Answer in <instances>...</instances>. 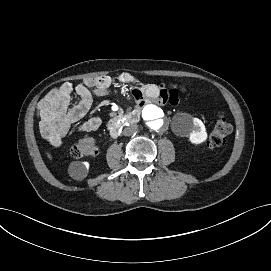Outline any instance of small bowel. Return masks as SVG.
Segmentation results:
<instances>
[{"label":"small bowel","mask_w":271,"mask_h":271,"mask_svg":"<svg viewBox=\"0 0 271 271\" xmlns=\"http://www.w3.org/2000/svg\"><path fill=\"white\" fill-rule=\"evenodd\" d=\"M117 82L121 85L133 86L131 95L140 106L154 102L177 105L180 102V94L169 92L164 85L143 82L130 73L120 74ZM113 87V79L103 75L85 78L75 86L65 82L49 91L38 104L42 136L52 146H61L71 125L84 118L91 108L93 97L107 95ZM73 93L78 96V101L70 106ZM100 125V118L92 117L79 126V131H94Z\"/></svg>","instance_id":"c3829d8e"}]
</instances>
